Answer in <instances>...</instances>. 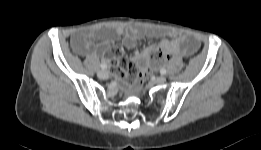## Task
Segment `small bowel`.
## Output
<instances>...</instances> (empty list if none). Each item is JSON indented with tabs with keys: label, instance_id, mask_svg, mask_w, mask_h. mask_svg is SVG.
Returning a JSON list of instances; mask_svg holds the SVG:
<instances>
[{
	"label": "small bowel",
	"instance_id": "c3829d8e",
	"mask_svg": "<svg viewBox=\"0 0 261 150\" xmlns=\"http://www.w3.org/2000/svg\"><path fill=\"white\" fill-rule=\"evenodd\" d=\"M124 35L123 44L126 48H135L138 42L144 38L168 37L169 40L164 43L165 49L173 56L180 53L189 55L193 53L199 46L194 38L185 37L174 31L166 28H159L156 26H131L127 30L121 27H116L111 30L103 31L99 34L100 41L95 48L91 46H83V41L87 36L86 31H78L72 35V42L82 47L84 52L93 53L98 52L106 55L113 62L116 73L119 77H125L127 74L133 79H138L141 76L140 69L145 63L148 50L137 53L132 57V61L122 57L121 52L117 54L108 51L110 43L118 36Z\"/></svg>",
	"mask_w": 261,
	"mask_h": 150
}]
</instances>
